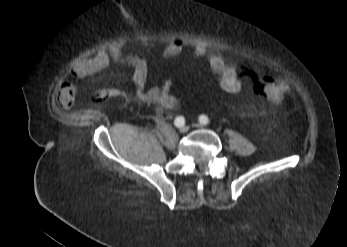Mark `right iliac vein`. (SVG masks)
<instances>
[{"label":"right iliac vein","mask_w":347,"mask_h":247,"mask_svg":"<svg viewBox=\"0 0 347 247\" xmlns=\"http://www.w3.org/2000/svg\"><path fill=\"white\" fill-rule=\"evenodd\" d=\"M179 130H180L181 133H186L188 128L186 126H182V127H180Z\"/></svg>","instance_id":"right-iliac-vein-1"}]
</instances>
